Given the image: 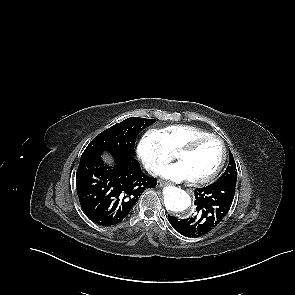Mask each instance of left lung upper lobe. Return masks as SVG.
<instances>
[{"label":"left lung upper lobe","instance_id":"1","mask_svg":"<svg viewBox=\"0 0 295 295\" xmlns=\"http://www.w3.org/2000/svg\"><path fill=\"white\" fill-rule=\"evenodd\" d=\"M234 179L237 180V169H236V164L233 158V155L231 152H229V165L227 166L224 174L218 179Z\"/></svg>","mask_w":295,"mask_h":295}]
</instances>
